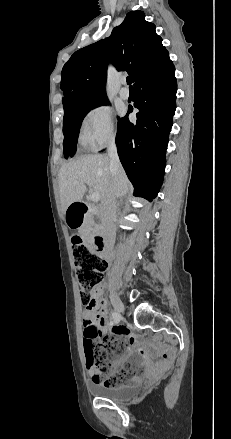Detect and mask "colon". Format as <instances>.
<instances>
[{
    "label": "colon",
    "mask_w": 231,
    "mask_h": 439,
    "mask_svg": "<svg viewBox=\"0 0 231 439\" xmlns=\"http://www.w3.org/2000/svg\"><path fill=\"white\" fill-rule=\"evenodd\" d=\"M71 243L80 297L87 307H91L94 305L93 294L103 280L107 263L93 253L81 237L74 236ZM97 344L84 345L85 363L92 378L108 387L128 383L130 380L126 368L120 367L114 373H109L111 363L126 350V340L122 337H106L99 346Z\"/></svg>",
    "instance_id": "1"
}]
</instances>
